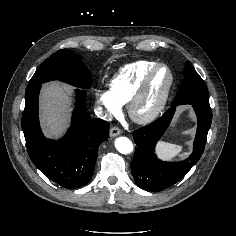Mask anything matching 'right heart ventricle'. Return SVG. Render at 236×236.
I'll use <instances>...</instances> for the list:
<instances>
[{"instance_id":"1","label":"right heart ventricle","mask_w":236,"mask_h":236,"mask_svg":"<svg viewBox=\"0 0 236 236\" xmlns=\"http://www.w3.org/2000/svg\"><path fill=\"white\" fill-rule=\"evenodd\" d=\"M157 62L140 60L120 69L110 82L109 91L120 105L128 104L146 73Z\"/></svg>"}]
</instances>
